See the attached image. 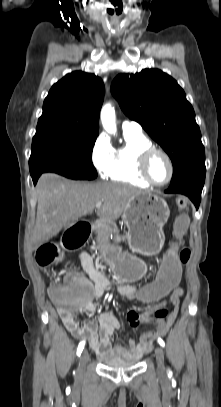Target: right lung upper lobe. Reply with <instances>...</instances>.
I'll use <instances>...</instances> for the list:
<instances>
[{
    "mask_svg": "<svg viewBox=\"0 0 221 407\" xmlns=\"http://www.w3.org/2000/svg\"><path fill=\"white\" fill-rule=\"evenodd\" d=\"M104 84L94 74L75 71L50 89L36 132L58 130L98 136Z\"/></svg>",
    "mask_w": 221,
    "mask_h": 407,
    "instance_id": "cb5924a9",
    "label": "right lung upper lobe"
}]
</instances>
